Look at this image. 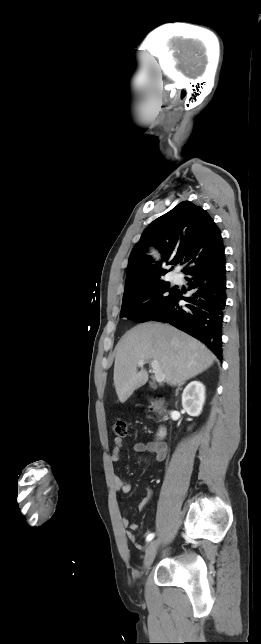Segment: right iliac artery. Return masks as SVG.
I'll use <instances>...</instances> for the list:
<instances>
[{"label": "right iliac artery", "mask_w": 261, "mask_h": 644, "mask_svg": "<svg viewBox=\"0 0 261 644\" xmlns=\"http://www.w3.org/2000/svg\"><path fill=\"white\" fill-rule=\"evenodd\" d=\"M154 536H155V534H154V533L149 534V535L147 536V538H146V541H147V542H150V541L154 538Z\"/></svg>", "instance_id": "82829eb1"}]
</instances>
